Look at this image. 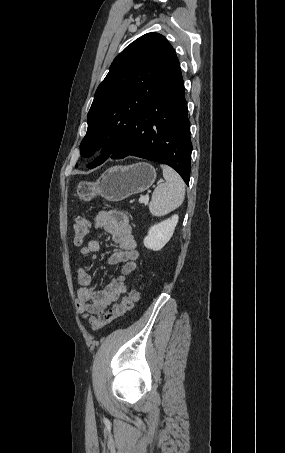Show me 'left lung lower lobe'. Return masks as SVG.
Segmentation results:
<instances>
[{
  "instance_id": "obj_1",
  "label": "left lung lower lobe",
  "mask_w": 285,
  "mask_h": 453,
  "mask_svg": "<svg viewBox=\"0 0 285 453\" xmlns=\"http://www.w3.org/2000/svg\"><path fill=\"white\" fill-rule=\"evenodd\" d=\"M187 112L184 82L176 57L152 99L110 157L122 159L131 155L167 164L189 185L192 143Z\"/></svg>"
}]
</instances>
